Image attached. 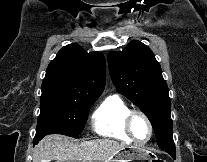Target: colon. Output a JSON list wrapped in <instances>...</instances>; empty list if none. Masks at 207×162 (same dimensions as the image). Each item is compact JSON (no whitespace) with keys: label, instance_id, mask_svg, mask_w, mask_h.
I'll return each mask as SVG.
<instances>
[{"label":"colon","instance_id":"5ec220e1","mask_svg":"<svg viewBox=\"0 0 207 162\" xmlns=\"http://www.w3.org/2000/svg\"><path fill=\"white\" fill-rule=\"evenodd\" d=\"M150 162H166L165 160H160V159H154V160H151Z\"/></svg>","mask_w":207,"mask_h":162}]
</instances>
